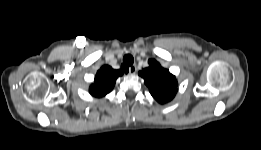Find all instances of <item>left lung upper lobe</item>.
I'll use <instances>...</instances> for the list:
<instances>
[{
    "mask_svg": "<svg viewBox=\"0 0 261 150\" xmlns=\"http://www.w3.org/2000/svg\"><path fill=\"white\" fill-rule=\"evenodd\" d=\"M149 67L142 69L139 75L149 87L151 95L159 103L171 101L177 93V80L169 70L164 69L156 60L148 61Z\"/></svg>",
    "mask_w": 261,
    "mask_h": 150,
    "instance_id": "5c2ea615",
    "label": "left lung upper lobe"
}]
</instances>
